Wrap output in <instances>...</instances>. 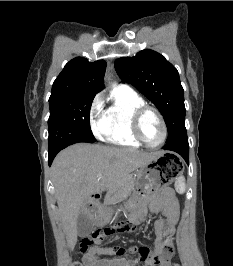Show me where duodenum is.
I'll list each match as a JSON object with an SVG mask.
<instances>
[{"mask_svg":"<svg viewBox=\"0 0 233 266\" xmlns=\"http://www.w3.org/2000/svg\"><path fill=\"white\" fill-rule=\"evenodd\" d=\"M101 198V194L99 192H96L94 193L92 196H91V200L92 202L94 203H97Z\"/></svg>","mask_w":233,"mask_h":266,"instance_id":"1","label":"duodenum"}]
</instances>
